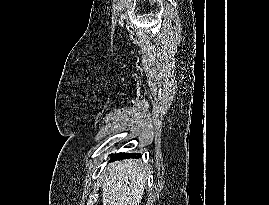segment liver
Wrapping results in <instances>:
<instances>
[{"label":"liver","mask_w":269,"mask_h":205,"mask_svg":"<svg viewBox=\"0 0 269 205\" xmlns=\"http://www.w3.org/2000/svg\"><path fill=\"white\" fill-rule=\"evenodd\" d=\"M107 174L102 184L103 205H139L146 174L137 160L113 163Z\"/></svg>","instance_id":"obj_1"}]
</instances>
